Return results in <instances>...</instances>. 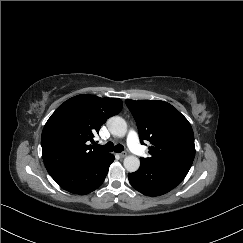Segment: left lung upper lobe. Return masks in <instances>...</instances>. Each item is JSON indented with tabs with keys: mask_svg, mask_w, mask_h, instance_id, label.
Returning <instances> with one entry per match:
<instances>
[{
	"mask_svg": "<svg viewBox=\"0 0 243 243\" xmlns=\"http://www.w3.org/2000/svg\"><path fill=\"white\" fill-rule=\"evenodd\" d=\"M137 123L140 141L148 140L149 158L141 165L170 160H194L193 130L188 120L171 104L160 100H126Z\"/></svg>",
	"mask_w": 243,
	"mask_h": 243,
	"instance_id": "5c2ea615",
	"label": "left lung upper lobe"
}]
</instances>
